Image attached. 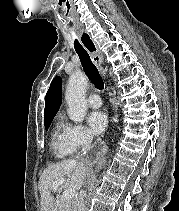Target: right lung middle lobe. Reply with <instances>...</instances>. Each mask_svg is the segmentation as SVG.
I'll return each mask as SVG.
<instances>
[{"label":"right lung middle lobe","mask_w":179,"mask_h":211,"mask_svg":"<svg viewBox=\"0 0 179 211\" xmlns=\"http://www.w3.org/2000/svg\"><path fill=\"white\" fill-rule=\"evenodd\" d=\"M53 118L54 117H51V118H48V119L45 120V128H46V130L49 128Z\"/></svg>","instance_id":"right-lung-middle-lobe-1"}]
</instances>
